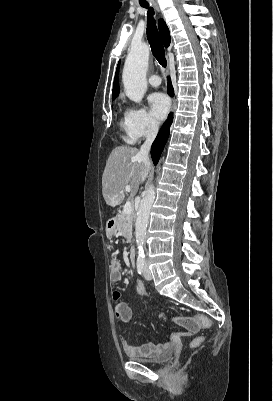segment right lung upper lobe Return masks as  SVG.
<instances>
[{
    "label": "right lung upper lobe",
    "instance_id": "right-lung-upper-lobe-1",
    "mask_svg": "<svg viewBox=\"0 0 273 401\" xmlns=\"http://www.w3.org/2000/svg\"><path fill=\"white\" fill-rule=\"evenodd\" d=\"M159 31L161 34V38L163 40V43L166 47L169 46L170 44V34H169V29L165 22L163 20L159 21ZM118 70H119V64L116 69V74H115V79H114V84H113V93H112V98L114 99L118 93H119V87H118Z\"/></svg>",
    "mask_w": 273,
    "mask_h": 401
}]
</instances>
